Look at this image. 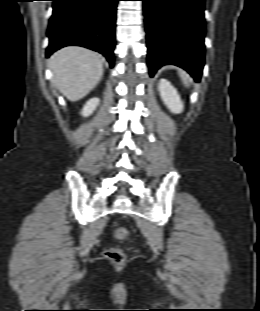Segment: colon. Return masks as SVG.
Masks as SVG:
<instances>
[{"label":"colon","mask_w":260,"mask_h":311,"mask_svg":"<svg viewBox=\"0 0 260 311\" xmlns=\"http://www.w3.org/2000/svg\"><path fill=\"white\" fill-rule=\"evenodd\" d=\"M115 236L119 239L126 238L128 236V230L124 227H118L115 231ZM104 255L115 264H122L125 260V254L120 248H108L104 251Z\"/></svg>","instance_id":"obj_1"}]
</instances>
